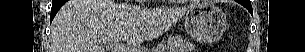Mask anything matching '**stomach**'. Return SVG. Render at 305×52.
Masks as SVG:
<instances>
[{
    "label": "stomach",
    "mask_w": 305,
    "mask_h": 52,
    "mask_svg": "<svg viewBox=\"0 0 305 52\" xmlns=\"http://www.w3.org/2000/svg\"><path fill=\"white\" fill-rule=\"evenodd\" d=\"M184 26L195 40L214 42L226 28V16L221 9L210 3H198L184 14Z\"/></svg>",
    "instance_id": "0dacf381"
}]
</instances>
